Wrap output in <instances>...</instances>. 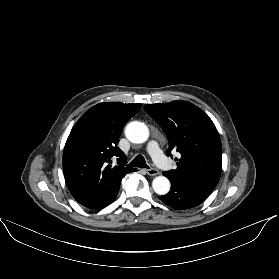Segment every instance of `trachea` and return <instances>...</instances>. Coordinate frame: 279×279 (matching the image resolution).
I'll return each mask as SVG.
<instances>
[{
	"label": "trachea",
	"mask_w": 279,
	"mask_h": 279,
	"mask_svg": "<svg viewBox=\"0 0 279 279\" xmlns=\"http://www.w3.org/2000/svg\"><path fill=\"white\" fill-rule=\"evenodd\" d=\"M128 166L132 167H139V168H149L146 164L145 159L142 155H137L129 164Z\"/></svg>",
	"instance_id": "obj_1"
}]
</instances>
